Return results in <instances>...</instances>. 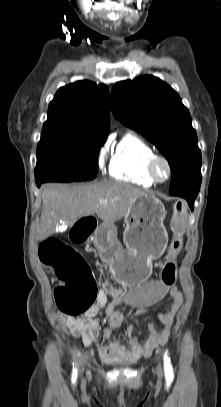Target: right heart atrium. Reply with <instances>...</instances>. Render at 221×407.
<instances>
[{"mask_svg":"<svg viewBox=\"0 0 221 407\" xmlns=\"http://www.w3.org/2000/svg\"><path fill=\"white\" fill-rule=\"evenodd\" d=\"M109 145L108 143L103 144L97 154V164L98 167L102 170L106 164L108 157Z\"/></svg>","mask_w":221,"mask_h":407,"instance_id":"right-heart-atrium-1","label":"right heart atrium"}]
</instances>
